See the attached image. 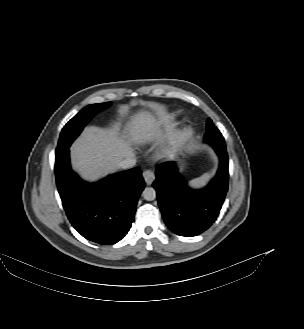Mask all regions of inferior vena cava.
I'll return each mask as SVG.
<instances>
[{
  "label": "inferior vena cava",
  "mask_w": 304,
  "mask_h": 329,
  "mask_svg": "<svg viewBox=\"0 0 304 329\" xmlns=\"http://www.w3.org/2000/svg\"><path fill=\"white\" fill-rule=\"evenodd\" d=\"M136 165V159L134 157H126L118 162V167L122 169H130Z\"/></svg>",
  "instance_id": "inferior-vena-cava-1"
}]
</instances>
